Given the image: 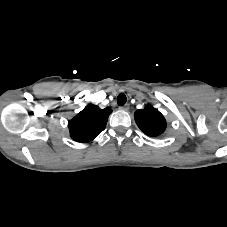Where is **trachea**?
<instances>
[{"label": "trachea", "mask_w": 227, "mask_h": 227, "mask_svg": "<svg viewBox=\"0 0 227 227\" xmlns=\"http://www.w3.org/2000/svg\"><path fill=\"white\" fill-rule=\"evenodd\" d=\"M126 101H127V98H126L125 94L120 93L117 97V104L119 106H123L126 103Z\"/></svg>", "instance_id": "3493384b"}]
</instances>
